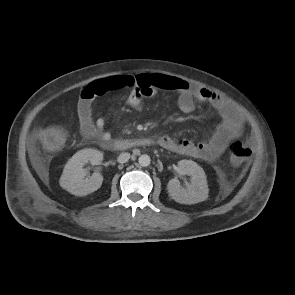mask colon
<instances>
[{
    "mask_svg": "<svg viewBox=\"0 0 295 295\" xmlns=\"http://www.w3.org/2000/svg\"><path fill=\"white\" fill-rule=\"evenodd\" d=\"M37 137L43 147L50 151L59 149L65 141L64 133L57 128L43 129L38 132ZM229 155L234 165L244 168L252 156V150L241 141L235 140L230 144Z\"/></svg>",
    "mask_w": 295,
    "mask_h": 295,
    "instance_id": "5ec220e1",
    "label": "colon"
}]
</instances>
